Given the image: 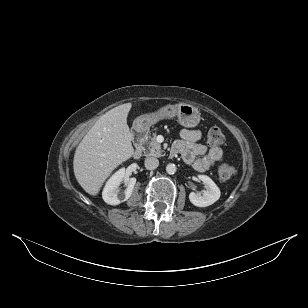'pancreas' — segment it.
I'll use <instances>...</instances> for the list:
<instances>
[{
  "instance_id": "cf45deb5",
  "label": "pancreas",
  "mask_w": 308,
  "mask_h": 308,
  "mask_svg": "<svg viewBox=\"0 0 308 308\" xmlns=\"http://www.w3.org/2000/svg\"><path fill=\"white\" fill-rule=\"evenodd\" d=\"M156 134L154 133L153 136H148L146 141V148L144 150V154L146 156H154V157H161L163 156V150L161 145L155 139Z\"/></svg>"
}]
</instances>
